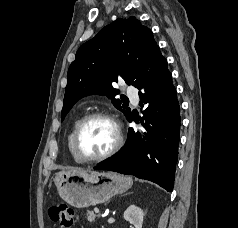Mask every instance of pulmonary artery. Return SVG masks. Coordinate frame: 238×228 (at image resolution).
Returning <instances> with one entry per match:
<instances>
[{
    "label": "pulmonary artery",
    "mask_w": 238,
    "mask_h": 228,
    "mask_svg": "<svg viewBox=\"0 0 238 228\" xmlns=\"http://www.w3.org/2000/svg\"><path fill=\"white\" fill-rule=\"evenodd\" d=\"M127 94L129 95V96H131L132 98H135L136 99V90H135V88H133V87H128L127 88Z\"/></svg>",
    "instance_id": "1"
}]
</instances>
